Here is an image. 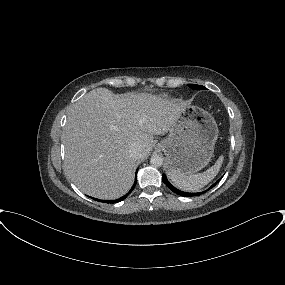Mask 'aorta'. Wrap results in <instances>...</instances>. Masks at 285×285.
<instances>
[{
	"label": "aorta",
	"instance_id": "obj_1",
	"mask_svg": "<svg viewBox=\"0 0 285 285\" xmlns=\"http://www.w3.org/2000/svg\"><path fill=\"white\" fill-rule=\"evenodd\" d=\"M150 163L154 167H160L163 164V158L160 155H152L150 158Z\"/></svg>",
	"mask_w": 285,
	"mask_h": 285
}]
</instances>
